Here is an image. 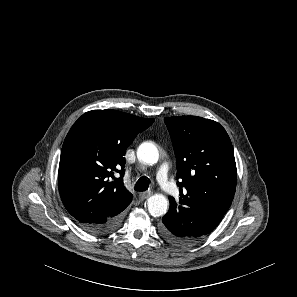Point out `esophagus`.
<instances>
[{
	"mask_svg": "<svg viewBox=\"0 0 297 297\" xmlns=\"http://www.w3.org/2000/svg\"><path fill=\"white\" fill-rule=\"evenodd\" d=\"M151 192L150 191H148V192H143V193H140L139 194V198H140V200H145V199H147L149 196H151Z\"/></svg>",
	"mask_w": 297,
	"mask_h": 297,
	"instance_id": "34e87169",
	"label": "esophagus"
}]
</instances>
